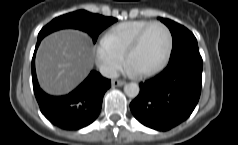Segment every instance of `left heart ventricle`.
<instances>
[{
	"label": "left heart ventricle",
	"instance_id": "1",
	"mask_svg": "<svg viewBox=\"0 0 238 145\" xmlns=\"http://www.w3.org/2000/svg\"><path fill=\"white\" fill-rule=\"evenodd\" d=\"M166 47V31L160 26H154L148 30L139 47L130 55L128 64L137 73L149 70L161 60Z\"/></svg>",
	"mask_w": 238,
	"mask_h": 145
}]
</instances>
